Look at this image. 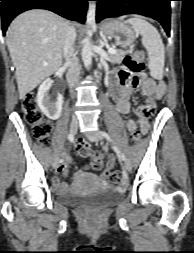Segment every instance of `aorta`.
<instances>
[{"instance_id": "1", "label": "aorta", "mask_w": 194, "mask_h": 253, "mask_svg": "<svg viewBox=\"0 0 194 253\" xmlns=\"http://www.w3.org/2000/svg\"><path fill=\"white\" fill-rule=\"evenodd\" d=\"M96 5L94 3L89 5L88 11H87V16H86V24L88 28H92L96 24ZM87 34H91V29L87 31ZM92 45H91V40L87 36L83 40V47H82V60L84 62V65L87 69L90 68L92 64Z\"/></svg>"}]
</instances>
